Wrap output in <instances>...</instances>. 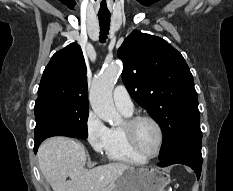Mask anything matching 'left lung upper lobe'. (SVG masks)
I'll return each instance as SVG.
<instances>
[{
	"instance_id": "5c2ea615",
	"label": "left lung upper lobe",
	"mask_w": 233,
	"mask_h": 191,
	"mask_svg": "<svg viewBox=\"0 0 233 191\" xmlns=\"http://www.w3.org/2000/svg\"><path fill=\"white\" fill-rule=\"evenodd\" d=\"M117 55L131 97L163 131L161 160L185 141L202 139L193 76L181 53L160 37L133 31Z\"/></svg>"
}]
</instances>
